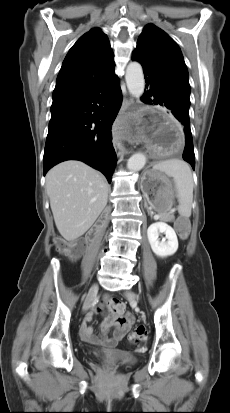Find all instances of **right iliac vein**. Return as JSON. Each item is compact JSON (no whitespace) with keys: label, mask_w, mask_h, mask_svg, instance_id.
Segmentation results:
<instances>
[{"label":"right iliac vein","mask_w":230,"mask_h":413,"mask_svg":"<svg viewBox=\"0 0 230 413\" xmlns=\"http://www.w3.org/2000/svg\"><path fill=\"white\" fill-rule=\"evenodd\" d=\"M97 291H98V285L93 284L91 286V288L89 289V292H88V294L86 296V299L84 301L83 311H86L89 308V306L91 305L92 301L94 300V298L97 294Z\"/></svg>","instance_id":"obj_1"}]
</instances>
